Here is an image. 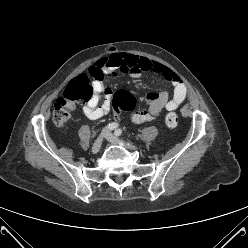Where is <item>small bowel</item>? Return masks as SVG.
<instances>
[{
	"label": "small bowel",
	"instance_id": "c3829d8e",
	"mask_svg": "<svg viewBox=\"0 0 248 248\" xmlns=\"http://www.w3.org/2000/svg\"><path fill=\"white\" fill-rule=\"evenodd\" d=\"M91 69L100 70L102 73L114 75L117 72L129 73L133 78H140L144 72H153L162 76L173 86L170 94L167 91L150 92L146 94L145 101L148 109L134 111L130 115V119L134 124H141L161 116L165 111L175 110L186 97V86L182 78L169 67L156 61L128 55L123 53H114L109 57L98 60ZM94 96L84 105V114L92 119H100L110 111V99L112 90L103 86L101 77L96 78L93 82ZM102 95L104 100L101 105L99 102Z\"/></svg>",
	"mask_w": 248,
	"mask_h": 248
}]
</instances>
